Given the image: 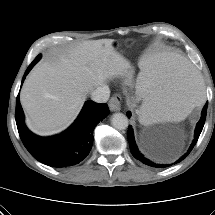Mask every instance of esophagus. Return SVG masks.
Segmentation results:
<instances>
[{
  "label": "esophagus",
  "instance_id": "34e87169",
  "mask_svg": "<svg viewBox=\"0 0 215 215\" xmlns=\"http://www.w3.org/2000/svg\"><path fill=\"white\" fill-rule=\"evenodd\" d=\"M121 96L116 94L111 97L109 101V108L111 111H119L121 109Z\"/></svg>",
  "mask_w": 215,
  "mask_h": 215
}]
</instances>
